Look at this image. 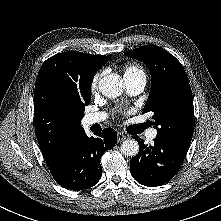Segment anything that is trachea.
Returning a JSON list of instances; mask_svg holds the SVG:
<instances>
[{
    "label": "trachea",
    "mask_w": 221,
    "mask_h": 221,
    "mask_svg": "<svg viewBox=\"0 0 221 221\" xmlns=\"http://www.w3.org/2000/svg\"><path fill=\"white\" fill-rule=\"evenodd\" d=\"M147 127H148L147 123L136 125V126H134V131L136 134H139V133L143 132Z\"/></svg>",
    "instance_id": "3493384b"
}]
</instances>
